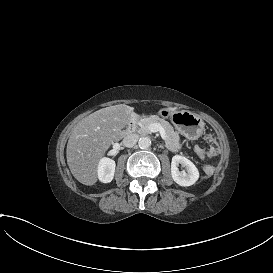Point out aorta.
I'll list each match as a JSON object with an SVG mask.
<instances>
[{"instance_id": "762f6f07", "label": "aorta", "mask_w": 273, "mask_h": 273, "mask_svg": "<svg viewBox=\"0 0 273 273\" xmlns=\"http://www.w3.org/2000/svg\"><path fill=\"white\" fill-rule=\"evenodd\" d=\"M138 145L141 149H147L151 145V139L149 137H141L138 141Z\"/></svg>"}]
</instances>
